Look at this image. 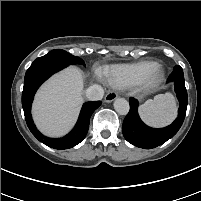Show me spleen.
Wrapping results in <instances>:
<instances>
[{
  "label": "spleen",
  "mask_w": 201,
  "mask_h": 201,
  "mask_svg": "<svg viewBox=\"0 0 201 201\" xmlns=\"http://www.w3.org/2000/svg\"><path fill=\"white\" fill-rule=\"evenodd\" d=\"M144 122L154 127L170 124L177 115V104L171 93L159 94L139 107Z\"/></svg>",
  "instance_id": "1"
}]
</instances>
